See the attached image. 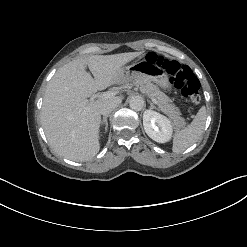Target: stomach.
I'll list each match as a JSON object with an SVG mask.
<instances>
[{
  "label": "stomach",
  "mask_w": 247,
  "mask_h": 247,
  "mask_svg": "<svg viewBox=\"0 0 247 247\" xmlns=\"http://www.w3.org/2000/svg\"><path fill=\"white\" fill-rule=\"evenodd\" d=\"M122 72L125 76L129 74L136 79H148L155 82L158 86L164 90H170L171 84L168 74L163 68L158 67L157 64L150 60H136L133 61L130 66L123 67Z\"/></svg>",
  "instance_id": "0dacf381"
}]
</instances>
